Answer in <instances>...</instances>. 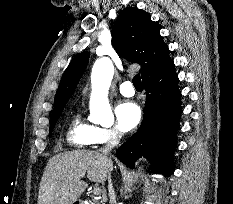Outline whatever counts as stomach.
I'll use <instances>...</instances> for the list:
<instances>
[{
    "instance_id": "1",
    "label": "stomach",
    "mask_w": 233,
    "mask_h": 204,
    "mask_svg": "<svg viewBox=\"0 0 233 204\" xmlns=\"http://www.w3.org/2000/svg\"><path fill=\"white\" fill-rule=\"evenodd\" d=\"M73 204H82L80 201H75Z\"/></svg>"
}]
</instances>
